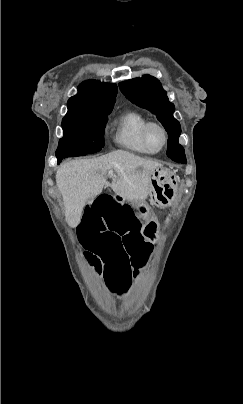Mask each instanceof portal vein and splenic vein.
Wrapping results in <instances>:
<instances>
[{"label":"portal vein and splenic vein","instance_id":"1","mask_svg":"<svg viewBox=\"0 0 243 404\" xmlns=\"http://www.w3.org/2000/svg\"><path fill=\"white\" fill-rule=\"evenodd\" d=\"M108 176H113V170H110Z\"/></svg>","mask_w":243,"mask_h":404}]
</instances>
